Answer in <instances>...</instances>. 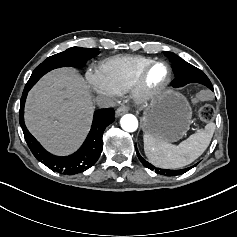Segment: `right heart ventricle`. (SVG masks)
<instances>
[{
	"mask_svg": "<svg viewBox=\"0 0 237 237\" xmlns=\"http://www.w3.org/2000/svg\"><path fill=\"white\" fill-rule=\"evenodd\" d=\"M151 62L143 56H117L105 60L100 69L119 93L133 88L144 67Z\"/></svg>",
	"mask_w": 237,
	"mask_h": 237,
	"instance_id": "right-heart-ventricle-1",
	"label": "right heart ventricle"
}]
</instances>
